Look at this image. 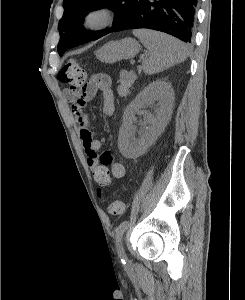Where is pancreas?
<instances>
[{
  "instance_id": "pancreas-1",
  "label": "pancreas",
  "mask_w": 245,
  "mask_h": 300,
  "mask_svg": "<svg viewBox=\"0 0 245 300\" xmlns=\"http://www.w3.org/2000/svg\"><path fill=\"white\" fill-rule=\"evenodd\" d=\"M135 76L131 72L122 71L120 73L119 86L117 88L118 94L121 97H125L129 93V88L134 83Z\"/></svg>"
}]
</instances>
